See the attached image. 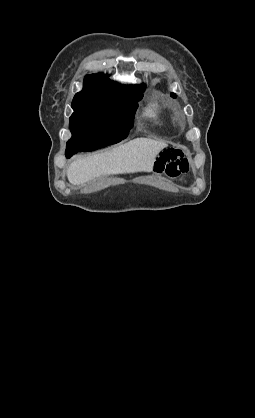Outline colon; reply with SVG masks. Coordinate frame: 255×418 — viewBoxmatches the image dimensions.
Segmentation results:
<instances>
[{"label": "colon", "mask_w": 255, "mask_h": 418, "mask_svg": "<svg viewBox=\"0 0 255 418\" xmlns=\"http://www.w3.org/2000/svg\"><path fill=\"white\" fill-rule=\"evenodd\" d=\"M188 161L181 149L168 148L164 150L155 162V171L168 177L176 178L188 171Z\"/></svg>", "instance_id": "1"}]
</instances>
